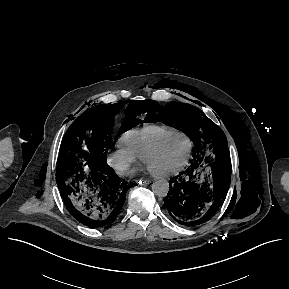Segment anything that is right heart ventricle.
Here are the masks:
<instances>
[{
    "instance_id": "1",
    "label": "right heart ventricle",
    "mask_w": 289,
    "mask_h": 289,
    "mask_svg": "<svg viewBox=\"0 0 289 289\" xmlns=\"http://www.w3.org/2000/svg\"><path fill=\"white\" fill-rule=\"evenodd\" d=\"M176 130L166 125L148 124L125 132L120 143L137 157H141L157 141Z\"/></svg>"
}]
</instances>
